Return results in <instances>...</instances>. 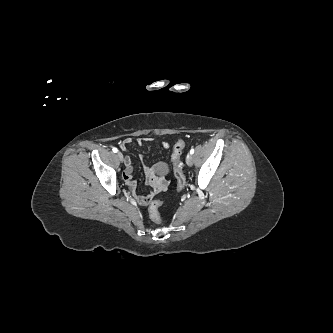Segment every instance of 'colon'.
I'll list each match as a JSON object with an SVG mask.
<instances>
[{"label":"colon","instance_id":"obj_1","mask_svg":"<svg viewBox=\"0 0 333 333\" xmlns=\"http://www.w3.org/2000/svg\"><path fill=\"white\" fill-rule=\"evenodd\" d=\"M185 148V142L183 140H178L173 146L171 160L174 168V176L176 179V188L178 192H181L185 186V175L183 172L182 164H181V155ZM163 205L161 200H154L150 203L148 207L149 217L150 219L159 224L161 222L160 216V208Z\"/></svg>","mask_w":333,"mask_h":333}]
</instances>
